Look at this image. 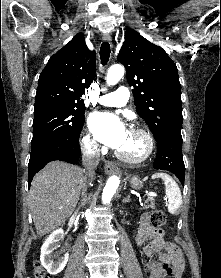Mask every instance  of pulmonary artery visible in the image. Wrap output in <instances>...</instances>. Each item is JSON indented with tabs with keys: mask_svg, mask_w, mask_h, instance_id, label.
<instances>
[{
	"mask_svg": "<svg viewBox=\"0 0 221 278\" xmlns=\"http://www.w3.org/2000/svg\"><path fill=\"white\" fill-rule=\"evenodd\" d=\"M129 99V91L126 87H119L115 92L105 94L98 99V103L103 106L121 107Z\"/></svg>",
	"mask_w": 221,
	"mask_h": 278,
	"instance_id": "obj_1",
	"label": "pulmonary artery"
}]
</instances>
